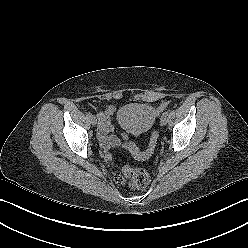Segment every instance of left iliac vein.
<instances>
[{"label":"left iliac vein","instance_id":"obj_1","mask_svg":"<svg viewBox=\"0 0 248 248\" xmlns=\"http://www.w3.org/2000/svg\"><path fill=\"white\" fill-rule=\"evenodd\" d=\"M167 121H168V117L166 115H162L161 118H160V124L162 126L166 125L167 124Z\"/></svg>","mask_w":248,"mask_h":248}]
</instances>
